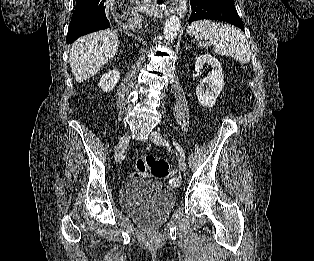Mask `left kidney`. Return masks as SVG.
<instances>
[{"label": "left kidney", "instance_id": "1", "mask_svg": "<svg viewBox=\"0 0 314 261\" xmlns=\"http://www.w3.org/2000/svg\"><path fill=\"white\" fill-rule=\"evenodd\" d=\"M205 64L212 67V71L209 76L200 80L196 94L198 101L204 107H213L216 103V99L221 93L224 86V76L220 62L209 54L200 55L195 64V71L201 73ZM206 85V88H204Z\"/></svg>", "mask_w": 314, "mask_h": 261}]
</instances>
